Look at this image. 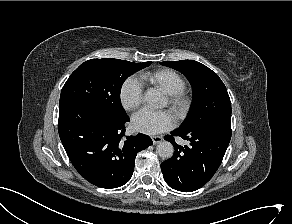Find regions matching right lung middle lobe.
<instances>
[{
  "label": "right lung middle lobe",
  "mask_w": 292,
  "mask_h": 224,
  "mask_svg": "<svg viewBox=\"0 0 292 224\" xmlns=\"http://www.w3.org/2000/svg\"><path fill=\"white\" fill-rule=\"evenodd\" d=\"M151 63H134L112 58L88 60L66 81L61 91L60 103L80 101L108 116H125L120 101L122 84L130 75Z\"/></svg>",
  "instance_id": "1"
}]
</instances>
